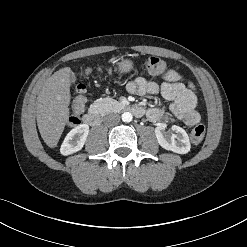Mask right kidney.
<instances>
[{"label":"right kidney","instance_id":"1","mask_svg":"<svg viewBox=\"0 0 247 247\" xmlns=\"http://www.w3.org/2000/svg\"><path fill=\"white\" fill-rule=\"evenodd\" d=\"M89 126L81 124L72 129L65 137L60 152L62 155H70L81 150L86 142Z\"/></svg>","mask_w":247,"mask_h":247}]
</instances>
